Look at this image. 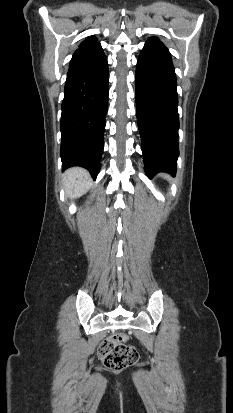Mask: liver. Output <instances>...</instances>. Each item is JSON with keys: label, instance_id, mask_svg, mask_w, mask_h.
<instances>
[{"label": "liver", "instance_id": "obj_1", "mask_svg": "<svg viewBox=\"0 0 233 413\" xmlns=\"http://www.w3.org/2000/svg\"><path fill=\"white\" fill-rule=\"evenodd\" d=\"M91 185L88 172L82 168H71L64 174V186L70 198H78L85 194Z\"/></svg>", "mask_w": 233, "mask_h": 413}]
</instances>
